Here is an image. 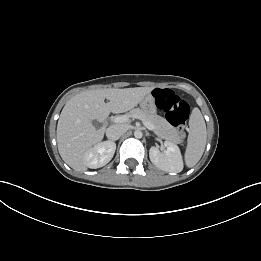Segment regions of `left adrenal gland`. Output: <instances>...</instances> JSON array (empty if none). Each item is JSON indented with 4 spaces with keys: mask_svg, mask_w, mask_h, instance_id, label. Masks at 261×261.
<instances>
[{
    "mask_svg": "<svg viewBox=\"0 0 261 261\" xmlns=\"http://www.w3.org/2000/svg\"><path fill=\"white\" fill-rule=\"evenodd\" d=\"M146 135H149V133H148V132H146Z\"/></svg>",
    "mask_w": 261,
    "mask_h": 261,
    "instance_id": "1",
    "label": "left adrenal gland"
}]
</instances>
